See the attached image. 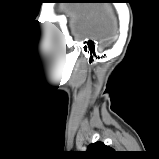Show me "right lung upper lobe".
<instances>
[{"mask_svg":"<svg viewBox=\"0 0 159 159\" xmlns=\"http://www.w3.org/2000/svg\"><path fill=\"white\" fill-rule=\"evenodd\" d=\"M114 150L109 146H106L102 142H95L88 146L87 154L90 157H94V159H104V156L109 153L113 152Z\"/></svg>","mask_w":159,"mask_h":159,"instance_id":"cb5924a9","label":"right lung upper lobe"}]
</instances>
